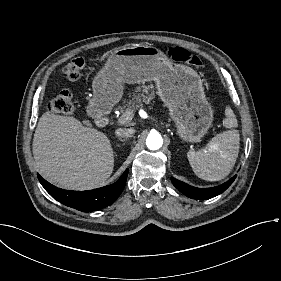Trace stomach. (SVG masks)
<instances>
[{"mask_svg": "<svg viewBox=\"0 0 281 281\" xmlns=\"http://www.w3.org/2000/svg\"><path fill=\"white\" fill-rule=\"evenodd\" d=\"M155 81L157 94L178 125L179 136L200 142L212 125L213 110L199 74L176 64L153 46L136 45L114 51L93 79V97L87 115L98 119L109 114L123 95V84Z\"/></svg>", "mask_w": 281, "mask_h": 281, "instance_id": "stomach-1", "label": "stomach"}]
</instances>
